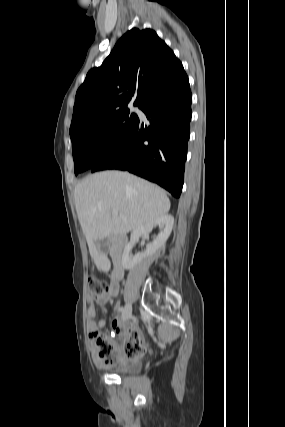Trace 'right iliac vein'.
Instances as JSON below:
<instances>
[{"label":"right iliac vein","instance_id":"right-iliac-vein-1","mask_svg":"<svg viewBox=\"0 0 285 427\" xmlns=\"http://www.w3.org/2000/svg\"><path fill=\"white\" fill-rule=\"evenodd\" d=\"M132 316V306L130 304H127L123 310L122 313V319L124 321L128 320Z\"/></svg>","mask_w":285,"mask_h":427}]
</instances>
